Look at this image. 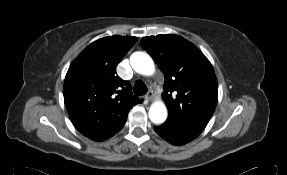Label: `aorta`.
<instances>
[{"mask_svg":"<svg viewBox=\"0 0 287 175\" xmlns=\"http://www.w3.org/2000/svg\"><path fill=\"white\" fill-rule=\"evenodd\" d=\"M130 64L134 71L142 75H152L155 65L152 58L144 52H135L130 57ZM149 119L154 124H161L167 119V108L162 101L154 102L149 109Z\"/></svg>","mask_w":287,"mask_h":175,"instance_id":"aorta-1","label":"aorta"}]
</instances>
